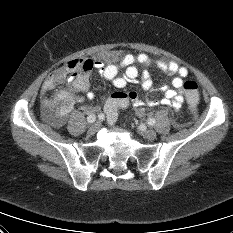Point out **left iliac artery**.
<instances>
[{"instance_id": "obj_1", "label": "left iliac artery", "mask_w": 233, "mask_h": 233, "mask_svg": "<svg viewBox=\"0 0 233 233\" xmlns=\"http://www.w3.org/2000/svg\"><path fill=\"white\" fill-rule=\"evenodd\" d=\"M148 124H149L150 126H153V125L155 124V119H154V118H149V119H148Z\"/></svg>"}]
</instances>
